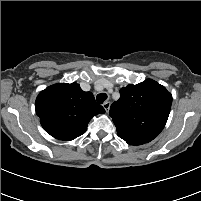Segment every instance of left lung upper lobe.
I'll return each instance as SVG.
<instances>
[{"label":"left lung upper lobe","mask_w":201,"mask_h":201,"mask_svg":"<svg viewBox=\"0 0 201 201\" xmlns=\"http://www.w3.org/2000/svg\"><path fill=\"white\" fill-rule=\"evenodd\" d=\"M120 95L109 112L118 136L140 145L152 141L167 122L172 95L152 79L127 85Z\"/></svg>","instance_id":"5c2ea615"}]
</instances>
